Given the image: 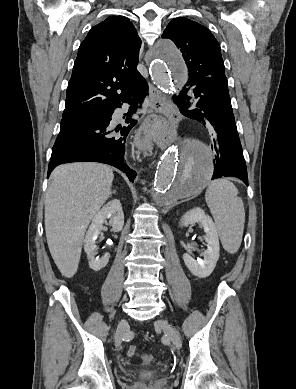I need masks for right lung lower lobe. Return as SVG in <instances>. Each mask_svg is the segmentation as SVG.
<instances>
[{
	"label": "right lung lower lobe",
	"instance_id": "right-lung-lower-lobe-1",
	"mask_svg": "<svg viewBox=\"0 0 296 389\" xmlns=\"http://www.w3.org/2000/svg\"><path fill=\"white\" fill-rule=\"evenodd\" d=\"M147 92V82L141 76L131 87L124 101L130 104L129 111L125 114L126 123L129 125L121 129V137L109 135L110 132L106 129L116 108L94 116L92 121L84 126L60 133L52 148L48 176L60 164L91 161L112 165L126 173L133 182L136 172L130 169L124 160L126 137L137 123L136 120L131 119V116L136 111L137 104L142 103Z\"/></svg>",
	"mask_w": 296,
	"mask_h": 389
}]
</instances>
